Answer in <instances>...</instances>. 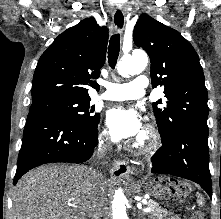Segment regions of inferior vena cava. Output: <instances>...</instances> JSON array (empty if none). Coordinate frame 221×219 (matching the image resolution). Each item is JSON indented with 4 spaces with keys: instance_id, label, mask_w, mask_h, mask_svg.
I'll return each mask as SVG.
<instances>
[{
    "instance_id": "602c4592",
    "label": "inferior vena cava",
    "mask_w": 221,
    "mask_h": 219,
    "mask_svg": "<svg viewBox=\"0 0 221 219\" xmlns=\"http://www.w3.org/2000/svg\"><path fill=\"white\" fill-rule=\"evenodd\" d=\"M110 150H111L110 143L107 140L102 139L99 142V146H98V151H97L98 158H102ZM92 174H93L92 176L93 180H100L102 177V175L97 173L96 170H92ZM96 183H97L96 184L97 186L94 187V190L100 191L101 187L98 186L99 182L97 181ZM104 217H105V211L101 209L97 204H94L91 209V219H102Z\"/></svg>"
}]
</instances>
